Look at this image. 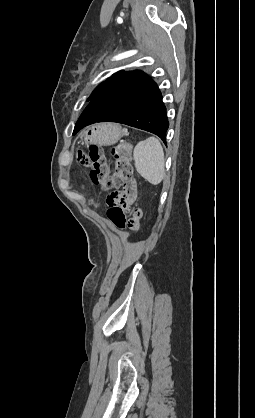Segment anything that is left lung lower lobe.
Returning <instances> with one entry per match:
<instances>
[{
  "instance_id": "0a47b994",
  "label": "left lung lower lobe",
  "mask_w": 255,
  "mask_h": 418,
  "mask_svg": "<svg viewBox=\"0 0 255 418\" xmlns=\"http://www.w3.org/2000/svg\"><path fill=\"white\" fill-rule=\"evenodd\" d=\"M97 122H118L159 136L166 142L169 123L162 94L144 72L126 71L109 83L82 112L75 128Z\"/></svg>"
}]
</instances>
